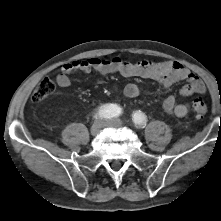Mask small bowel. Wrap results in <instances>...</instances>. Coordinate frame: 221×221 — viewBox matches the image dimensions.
I'll use <instances>...</instances> for the list:
<instances>
[{
	"label": "small bowel",
	"instance_id": "obj_1",
	"mask_svg": "<svg viewBox=\"0 0 221 221\" xmlns=\"http://www.w3.org/2000/svg\"><path fill=\"white\" fill-rule=\"evenodd\" d=\"M91 72L98 73L101 76L119 73L125 77H141L156 81L163 87H169L179 81H186L187 84L179 90L181 97L204 94L206 92V86L203 81L195 73L177 62H154L150 60L132 62L120 57L108 60L91 58L66 63L60 68L55 80L59 87L68 88L71 86L70 75ZM140 91V87L134 83L127 84L122 89L123 95L130 99L137 97ZM162 107L166 113L177 117H184L190 111L189 104L178 103L174 95L167 96L163 101Z\"/></svg>",
	"mask_w": 221,
	"mask_h": 221
}]
</instances>
